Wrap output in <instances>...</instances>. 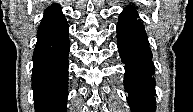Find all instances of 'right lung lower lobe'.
I'll use <instances>...</instances> for the list:
<instances>
[{"mask_svg": "<svg viewBox=\"0 0 193 112\" xmlns=\"http://www.w3.org/2000/svg\"><path fill=\"white\" fill-rule=\"evenodd\" d=\"M69 47L68 23L55 3L44 12L33 53L35 112L66 111Z\"/></svg>", "mask_w": 193, "mask_h": 112, "instance_id": "98d812e1", "label": "right lung lower lobe"}]
</instances>
